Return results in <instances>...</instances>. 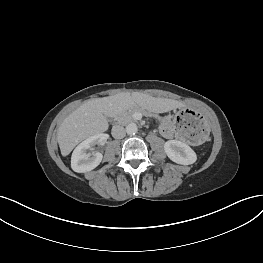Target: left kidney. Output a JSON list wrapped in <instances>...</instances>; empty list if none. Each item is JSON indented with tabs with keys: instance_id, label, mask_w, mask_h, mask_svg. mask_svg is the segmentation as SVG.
<instances>
[{
	"instance_id": "left-kidney-1",
	"label": "left kidney",
	"mask_w": 263,
	"mask_h": 263,
	"mask_svg": "<svg viewBox=\"0 0 263 263\" xmlns=\"http://www.w3.org/2000/svg\"><path fill=\"white\" fill-rule=\"evenodd\" d=\"M164 150L170 160L177 164L190 165L197 160L196 153L193 149L179 140H169L165 142Z\"/></svg>"
}]
</instances>
